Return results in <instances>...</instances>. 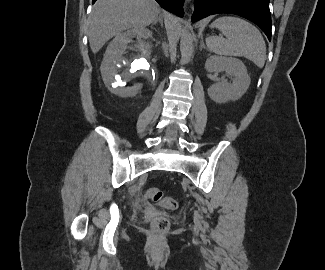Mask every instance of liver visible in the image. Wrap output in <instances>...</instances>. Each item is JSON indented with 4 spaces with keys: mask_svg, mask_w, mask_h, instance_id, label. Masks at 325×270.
Returning a JSON list of instances; mask_svg holds the SVG:
<instances>
[{
    "mask_svg": "<svg viewBox=\"0 0 325 270\" xmlns=\"http://www.w3.org/2000/svg\"><path fill=\"white\" fill-rule=\"evenodd\" d=\"M160 13L155 0H97L89 17L90 48L97 53L114 36L133 28L141 30Z\"/></svg>",
    "mask_w": 325,
    "mask_h": 270,
    "instance_id": "obj_1",
    "label": "liver"
}]
</instances>
